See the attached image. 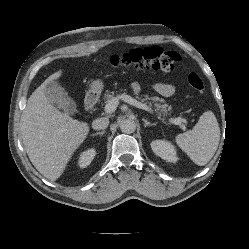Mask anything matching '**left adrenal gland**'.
Instances as JSON below:
<instances>
[{
    "label": "left adrenal gland",
    "instance_id": "obj_1",
    "mask_svg": "<svg viewBox=\"0 0 249 249\" xmlns=\"http://www.w3.org/2000/svg\"><path fill=\"white\" fill-rule=\"evenodd\" d=\"M145 123L144 127H147V126H155L156 124L155 123H150L147 119L143 118L142 119Z\"/></svg>",
    "mask_w": 249,
    "mask_h": 249
}]
</instances>
